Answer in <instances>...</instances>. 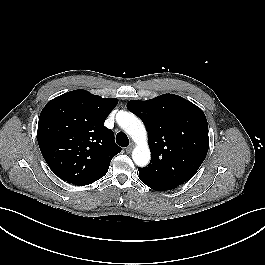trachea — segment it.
<instances>
[{"instance_id":"3493384b","label":"trachea","mask_w":265,"mask_h":265,"mask_svg":"<svg viewBox=\"0 0 265 265\" xmlns=\"http://www.w3.org/2000/svg\"><path fill=\"white\" fill-rule=\"evenodd\" d=\"M116 142L121 147H127L129 145V139L127 135L123 132H119L116 135Z\"/></svg>"}]
</instances>
